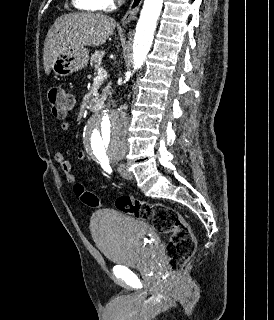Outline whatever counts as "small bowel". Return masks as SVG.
<instances>
[{
  "mask_svg": "<svg viewBox=\"0 0 274 320\" xmlns=\"http://www.w3.org/2000/svg\"><path fill=\"white\" fill-rule=\"evenodd\" d=\"M70 128L69 123L67 122H63L60 124V130L61 131H68ZM86 158V153L84 151H79L77 153V159L78 161H84ZM54 160L58 163V165L60 166L63 175L65 177V179L69 182V183H73L76 181L75 175L72 171V166L71 163L65 159L64 155L61 152H56L54 154Z\"/></svg>",
  "mask_w": 274,
  "mask_h": 320,
  "instance_id": "c3829d8e",
  "label": "small bowel"
}]
</instances>
